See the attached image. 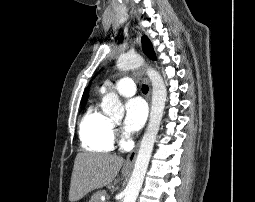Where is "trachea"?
<instances>
[{
    "mask_svg": "<svg viewBox=\"0 0 255 202\" xmlns=\"http://www.w3.org/2000/svg\"><path fill=\"white\" fill-rule=\"evenodd\" d=\"M142 91H143V93H147L148 92V86L147 85H143L142 86Z\"/></svg>",
    "mask_w": 255,
    "mask_h": 202,
    "instance_id": "obj_1",
    "label": "trachea"
}]
</instances>
